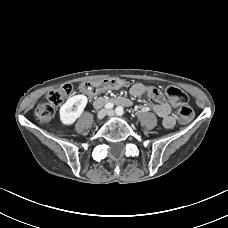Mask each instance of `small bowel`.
<instances>
[{"label": "small bowel", "mask_w": 228, "mask_h": 228, "mask_svg": "<svg viewBox=\"0 0 228 228\" xmlns=\"http://www.w3.org/2000/svg\"><path fill=\"white\" fill-rule=\"evenodd\" d=\"M122 86H124L123 82L108 79L98 83H85L81 86V91L86 94H95L106 90L118 89ZM130 94L133 97L148 96L151 99L154 112L161 118L163 127L170 129L174 126L175 119L171 115V104L166 101L158 88L137 83L131 86Z\"/></svg>", "instance_id": "small-bowel-1"}]
</instances>
